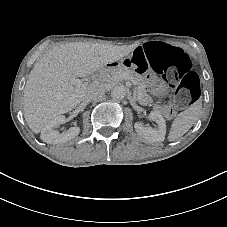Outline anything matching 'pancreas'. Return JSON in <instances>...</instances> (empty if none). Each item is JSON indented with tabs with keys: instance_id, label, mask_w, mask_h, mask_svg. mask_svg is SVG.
Instances as JSON below:
<instances>
[{
	"instance_id": "pancreas-1",
	"label": "pancreas",
	"mask_w": 227,
	"mask_h": 227,
	"mask_svg": "<svg viewBox=\"0 0 227 227\" xmlns=\"http://www.w3.org/2000/svg\"><path fill=\"white\" fill-rule=\"evenodd\" d=\"M123 78L133 79L136 82L137 99L140 104L147 105L152 101L151 97L147 94V86L142 75L126 67L118 66L107 71H101L97 80L104 86H108L112 81L122 80Z\"/></svg>"
}]
</instances>
